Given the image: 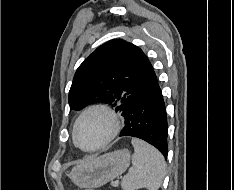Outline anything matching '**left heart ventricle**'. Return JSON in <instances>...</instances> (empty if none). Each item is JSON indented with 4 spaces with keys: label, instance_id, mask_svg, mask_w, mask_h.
Masks as SVG:
<instances>
[{
    "label": "left heart ventricle",
    "instance_id": "left-heart-ventricle-1",
    "mask_svg": "<svg viewBox=\"0 0 234 190\" xmlns=\"http://www.w3.org/2000/svg\"><path fill=\"white\" fill-rule=\"evenodd\" d=\"M109 129V121L104 115L91 114L79 126L78 141L85 148L93 147L105 139Z\"/></svg>",
    "mask_w": 234,
    "mask_h": 190
}]
</instances>
